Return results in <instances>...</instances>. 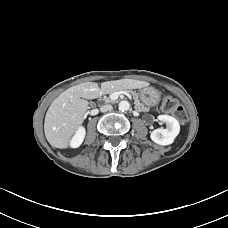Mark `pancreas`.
<instances>
[{"label":"pancreas","mask_w":228,"mask_h":228,"mask_svg":"<svg viewBox=\"0 0 228 228\" xmlns=\"http://www.w3.org/2000/svg\"><path fill=\"white\" fill-rule=\"evenodd\" d=\"M116 90H112V91H109L108 93H113V92H115ZM130 95H132L133 96V102H134V105H135V108L138 110V111H148L149 110V107L148 106H144L143 104H141L140 102H139V100H138V97H137V95L133 92V91H130V90H128L127 91ZM104 100H105V102L106 103H111V102H113V100H111L109 97H106V98H104Z\"/></svg>","instance_id":"1"}]
</instances>
